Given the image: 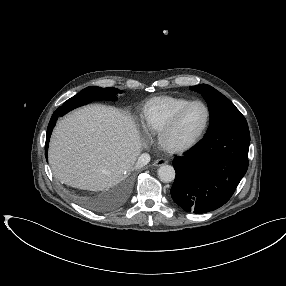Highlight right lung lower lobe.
I'll list each match as a JSON object with an SVG mask.
<instances>
[{
  "mask_svg": "<svg viewBox=\"0 0 286 286\" xmlns=\"http://www.w3.org/2000/svg\"><path fill=\"white\" fill-rule=\"evenodd\" d=\"M58 116H61L58 111L56 110L52 117L51 120L49 122L48 128H47V133H46V143H45V155H46V159H47V150H48V145H49V140H50V135L52 133V130L55 126L56 120L58 118Z\"/></svg>",
  "mask_w": 286,
  "mask_h": 286,
  "instance_id": "98d812e1",
  "label": "right lung lower lobe"
}]
</instances>
